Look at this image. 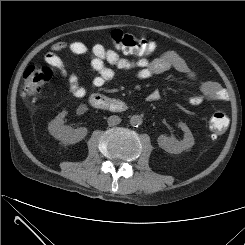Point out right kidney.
I'll use <instances>...</instances> for the list:
<instances>
[{"label": "right kidney", "mask_w": 245, "mask_h": 245, "mask_svg": "<svg viewBox=\"0 0 245 245\" xmlns=\"http://www.w3.org/2000/svg\"><path fill=\"white\" fill-rule=\"evenodd\" d=\"M67 112H61L55 119H53L49 125V133L55 138L61 140L64 143L75 144L81 141L87 135L86 128L73 129L69 126L64 125V117Z\"/></svg>", "instance_id": "obj_1"}]
</instances>
